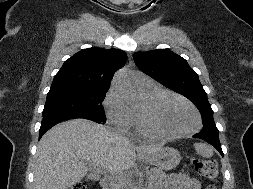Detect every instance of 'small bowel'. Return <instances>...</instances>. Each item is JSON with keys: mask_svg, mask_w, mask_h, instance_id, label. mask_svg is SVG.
<instances>
[{"mask_svg": "<svg viewBox=\"0 0 253 189\" xmlns=\"http://www.w3.org/2000/svg\"><path fill=\"white\" fill-rule=\"evenodd\" d=\"M166 189H200L201 184L198 179L186 174H174L169 178Z\"/></svg>", "mask_w": 253, "mask_h": 189, "instance_id": "1", "label": "small bowel"}]
</instances>
